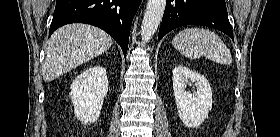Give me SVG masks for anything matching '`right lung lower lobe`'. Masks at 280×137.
<instances>
[{"label": "right lung lower lobe", "instance_id": "right-lung-lower-lobe-1", "mask_svg": "<svg viewBox=\"0 0 280 137\" xmlns=\"http://www.w3.org/2000/svg\"><path fill=\"white\" fill-rule=\"evenodd\" d=\"M142 0H57L50 35L69 23H87L110 34L126 57L131 24Z\"/></svg>", "mask_w": 280, "mask_h": 137}]
</instances>
